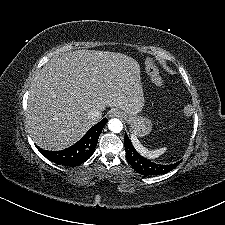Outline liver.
I'll use <instances>...</instances> for the list:
<instances>
[{
  "instance_id": "liver-1",
  "label": "liver",
  "mask_w": 225,
  "mask_h": 225,
  "mask_svg": "<svg viewBox=\"0 0 225 225\" xmlns=\"http://www.w3.org/2000/svg\"><path fill=\"white\" fill-rule=\"evenodd\" d=\"M144 105L139 63L122 53L76 50L54 56L36 73L26 124L34 142L58 151L75 143L101 117L92 106L136 115Z\"/></svg>"
}]
</instances>
